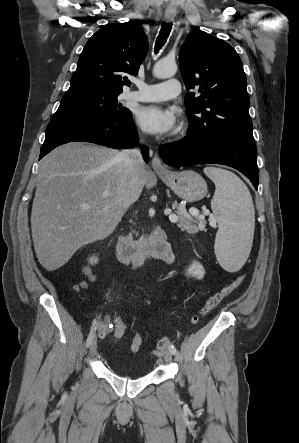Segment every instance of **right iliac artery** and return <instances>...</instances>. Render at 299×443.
Here are the masks:
<instances>
[{
  "label": "right iliac artery",
  "instance_id": "right-iliac-artery-1",
  "mask_svg": "<svg viewBox=\"0 0 299 443\" xmlns=\"http://www.w3.org/2000/svg\"><path fill=\"white\" fill-rule=\"evenodd\" d=\"M96 320L93 321V325L91 327V331L88 335L87 341H86V346L89 347L92 345L94 338H95V330H96Z\"/></svg>",
  "mask_w": 299,
  "mask_h": 443
}]
</instances>
